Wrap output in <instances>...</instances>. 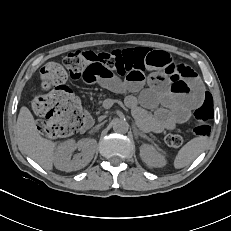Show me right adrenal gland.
<instances>
[{
    "instance_id": "right-adrenal-gland-1",
    "label": "right adrenal gland",
    "mask_w": 231,
    "mask_h": 231,
    "mask_svg": "<svg viewBox=\"0 0 231 231\" xmlns=\"http://www.w3.org/2000/svg\"><path fill=\"white\" fill-rule=\"evenodd\" d=\"M96 131V129H92L89 133H93V132H95Z\"/></svg>"
}]
</instances>
